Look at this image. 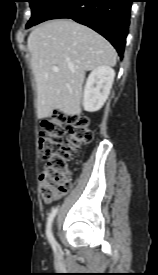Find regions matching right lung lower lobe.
Returning a JSON list of instances; mask_svg holds the SVG:
<instances>
[{"label":"right lung lower lobe","instance_id":"1","mask_svg":"<svg viewBox=\"0 0 158 275\" xmlns=\"http://www.w3.org/2000/svg\"><path fill=\"white\" fill-rule=\"evenodd\" d=\"M132 0H56L37 24L70 18L104 36L121 56L129 27Z\"/></svg>","mask_w":158,"mask_h":275}]
</instances>
